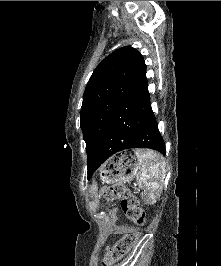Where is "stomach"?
<instances>
[{"mask_svg":"<svg viewBox=\"0 0 221 266\" xmlns=\"http://www.w3.org/2000/svg\"><path fill=\"white\" fill-rule=\"evenodd\" d=\"M141 164L130 151L111 157L101 168L100 177L107 184H122L131 181Z\"/></svg>","mask_w":221,"mask_h":266,"instance_id":"obj_1","label":"stomach"}]
</instances>
